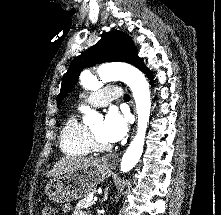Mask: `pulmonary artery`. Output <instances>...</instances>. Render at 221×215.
I'll return each instance as SVG.
<instances>
[{
    "mask_svg": "<svg viewBox=\"0 0 221 215\" xmlns=\"http://www.w3.org/2000/svg\"><path fill=\"white\" fill-rule=\"evenodd\" d=\"M122 90L117 86H106L92 92L86 102L93 107H105L112 100L121 97Z\"/></svg>",
    "mask_w": 221,
    "mask_h": 215,
    "instance_id": "obj_1",
    "label": "pulmonary artery"
}]
</instances>
